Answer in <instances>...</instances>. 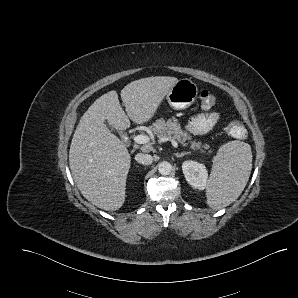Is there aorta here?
<instances>
[{"mask_svg":"<svg viewBox=\"0 0 298 298\" xmlns=\"http://www.w3.org/2000/svg\"><path fill=\"white\" fill-rule=\"evenodd\" d=\"M173 170V166L170 162L168 161H162L158 164V172L161 174V175H169L171 174Z\"/></svg>","mask_w":298,"mask_h":298,"instance_id":"aorta-1","label":"aorta"}]
</instances>
